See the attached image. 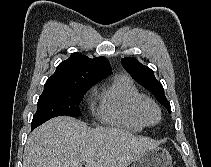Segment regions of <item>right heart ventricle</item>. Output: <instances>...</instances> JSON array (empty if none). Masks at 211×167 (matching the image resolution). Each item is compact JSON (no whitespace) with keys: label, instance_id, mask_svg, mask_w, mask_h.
<instances>
[{"label":"right heart ventricle","instance_id":"1","mask_svg":"<svg viewBox=\"0 0 211 167\" xmlns=\"http://www.w3.org/2000/svg\"><path fill=\"white\" fill-rule=\"evenodd\" d=\"M143 97L128 75L119 74L98 93L95 115L107 124L140 131L146 125L137 110Z\"/></svg>","mask_w":211,"mask_h":167}]
</instances>
